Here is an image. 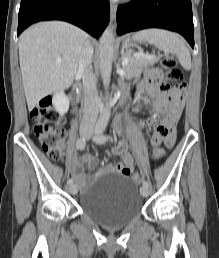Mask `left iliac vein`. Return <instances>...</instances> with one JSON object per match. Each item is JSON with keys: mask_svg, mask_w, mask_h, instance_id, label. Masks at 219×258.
<instances>
[{"mask_svg": "<svg viewBox=\"0 0 219 258\" xmlns=\"http://www.w3.org/2000/svg\"><path fill=\"white\" fill-rule=\"evenodd\" d=\"M140 193L143 197H147L149 195V190H148V187L146 186H142L140 188Z\"/></svg>", "mask_w": 219, "mask_h": 258, "instance_id": "1", "label": "left iliac vein"}]
</instances>
